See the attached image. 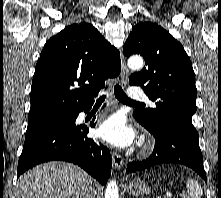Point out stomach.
<instances>
[{"label":"stomach","instance_id":"obj_1","mask_svg":"<svg viewBox=\"0 0 221 198\" xmlns=\"http://www.w3.org/2000/svg\"><path fill=\"white\" fill-rule=\"evenodd\" d=\"M127 190L130 194L135 196L149 194L151 192V188L141 179H135L129 182Z\"/></svg>","mask_w":221,"mask_h":198}]
</instances>
